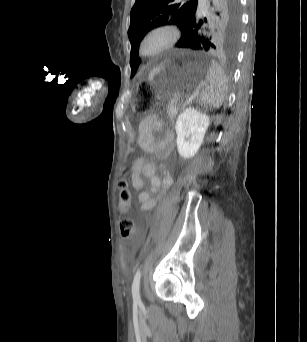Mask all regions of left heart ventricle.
Returning <instances> with one entry per match:
<instances>
[{
    "mask_svg": "<svg viewBox=\"0 0 307 342\" xmlns=\"http://www.w3.org/2000/svg\"><path fill=\"white\" fill-rule=\"evenodd\" d=\"M167 39V34L163 31H156L151 34L143 45V50L146 54L155 52L161 47Z\"/></svg>",
    "mask_w": 307,
    "mask_h": 342,
    "instance_id": "b2bd125f",
    "label": "left heart ventricle"
}]
</instances>
